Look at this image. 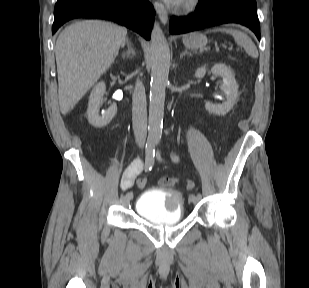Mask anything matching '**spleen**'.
<instances>
[{
	"instance_id": "spleen-1",
	"label": "spleen",
	"mask_w": 309,
	"mask_h": 288,
	"mask_svg": "<svg viewBox=\"0 0 309 288\" xmlns=\"http://www.w3.org/2000/svg\"><path fill=\"white\" fill-rule=\"evenodd\" d=\"M214 32L220 31L225 32L233 36L235 42L243 47L246 51V53L251 56L252 58L258 57V51L252 40L242 31L235 30V29H224V28H218L212 30Z\"/></svg>"
}]
</instances>
